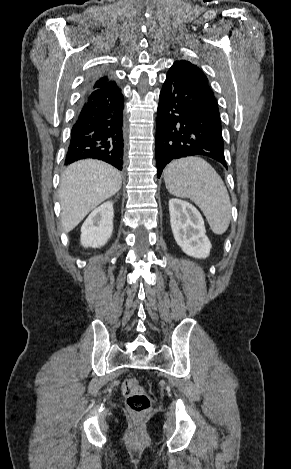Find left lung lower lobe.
Listing matches in <instances>:
<instances>
[{
	"instance_id": "left-lung-lower-lobe-1",
	"label": "left lung lower lobe",
	"mask_w": 291,
	"mask_h": 469,
	"mask_svg": "<svg viewBox=\"0 0 291 469\" xmlns=\"http://www.w3.org/2000/svg\"><path fill=\"white\" fill-rule=\"evenodd\" d=\"M208 156L226 168L221 119L214 94L168 72L160 92L156 130L157 176L171 161Z\"/></svg>"
}]
</instances>
